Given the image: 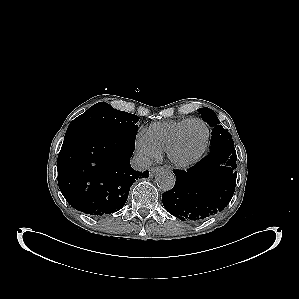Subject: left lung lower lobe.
<instances>
[{
  "label": "left lung lower lobe",
  "instance_id": "obj_1",
  "mask_svg": "<svg viewBox=\"0 0 299 299\" xmlns=\"http://www.w3.org/2000/svg\"><path fill=\"white\" fill-rule=\"evenodd\" d=\"M236 160L234 144H221L194 167L174 171L175 186L162 195L165 209L182 221L222 211L235 191Z\"/></svg>",
  "mask_w": 299,
  "mask_h": 299
}]
</instances>
